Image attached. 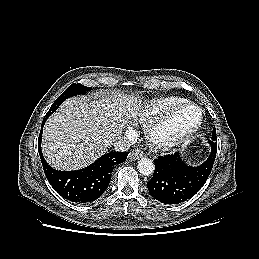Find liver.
Here are the masks:
<instances>
[{"label": "liver", "instance_id": "6515ba94", "mask_svg": "<svg viewBox=\"0 0 259 259\" xmlns=\"http://www.w3.org/2000/svg\"><path fill=\"white\" fill-rule=\"evenodd\" d=\"M140 104L133 95L119 93L66 100L44 126L46 161L58 170L91 164L120 137L128 120L136 118Z\"/></svg>", "mask_w": 259, "mask_h": 259}]
</instances>
